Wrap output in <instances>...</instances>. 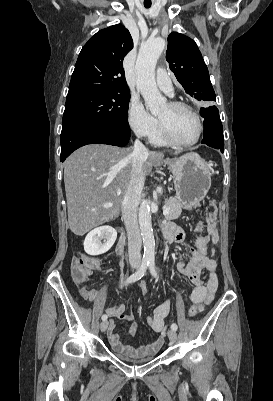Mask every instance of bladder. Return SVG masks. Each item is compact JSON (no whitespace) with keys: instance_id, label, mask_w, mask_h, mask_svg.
Wrapping results in <instances>:
<instances>
[{"instance_id":"bladder-1","label":"bladder","mask_w":273,"mask_h":401,"mask_svg":"<svg viewBox=\"0 0 273 401\" xmlns=\"http://www.w3.org/2000/svg\"><path fill=\"white\" fill-rule=\"evenodd\" d=\"M114 356H115L117 359H119L120 361L124 362V363H131V364L147 363V362L152 361V360L155 358L154 355H151V356L145 357V358L140 359V360H132V359H130V358H127V357L122 356V355L117 354V353H114Z\"/></svg>"}]
</instances>
